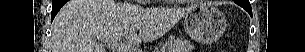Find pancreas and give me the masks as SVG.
Wrapping results in <instances>:
<instances>
[{
  "label": "pancreas",
  "mask_w": 305,
  "mask_h": 52,
  "mask_svg": "<svg viewBox=\"0 0 305 52\" xmlns=\"http://www.w3.org/2000/svg\"><path fill=\"white\" fill-rule=\"evenodd\" d=\"M194 46L189 40L170 37L161 48V52H190Z\"/></svg>",
  "instance_id": "obj_1"
}]
</instances>
